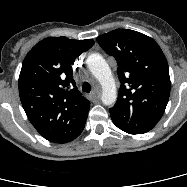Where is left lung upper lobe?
<instances>
[{
    "label": "left lung upper lobe",
    "instance_id": "left-lung-upper-lobe-1",
    "mask_svg": "<svg viewBox=\"0 0 187 187\" xmlns=\"http://www.w3.org/2000/svg\"><path fill=\"white\" fill-rule=\"evenodd\" d=\"M118 64L121 83L116 104L109 109L113 123L129 134L150 131L161 119L170 95L167 60L151 37L116 29L97 37Z\"/></svg>",
    "mask_w": 187,
    "mask_h": 187
}]
</instances>
